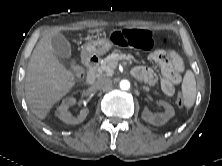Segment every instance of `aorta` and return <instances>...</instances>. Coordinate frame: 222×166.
Wrapping results in <instances>:
<instances>
[{
  "mask_svg": "<svg viewBox=\"0 0 222 166\" xmlns=\"http://www.w3.org/2000/svg\"><path fill=\"white\" fill-rule=\"evenodd\" d=\"M120 88L122 90H128L130 88V82L128 80H121Z\"/></svg>",
  "mask_w": 222,
  "mask_h": 166,
  "instance_id": "obj_1",
  "label": "aorta"
}]
</instances>
